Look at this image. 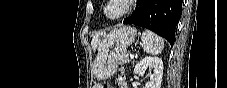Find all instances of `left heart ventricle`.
<instances>
[{"label": "left heart ventricle", "instance_id": "obj_1", "mask_svg": "<svg viewBox=\"0 0 227 88\" xmlns=\"http://www.w3.org/2000/svg\"><path fill=\"white\" fill-rule=\"evenodd\" d=\"M117 12H118V8H111V9H109V13L110 14H115Z\"/></svg>", "mask_w": 227, "mask_h": 88}]
</instances>
